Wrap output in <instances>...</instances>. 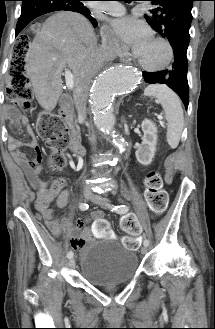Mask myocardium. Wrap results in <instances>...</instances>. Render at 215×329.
I'll list each match as a JSON object with an SVG mask.
<instances>
[{
  "instance_id": "1",
  "label": "myocardium",
  "mask_w": 215,
  "mask_h": 329,
  "mask_svg": "<svg viewBox=\"0 0 215 329\" xmlns=\"http://www.w3.org/2000/svg\"><path fill=\"white\" fill-rule=\"evenodd\" d=\"M153 40L160 43L165 48L167 54H166V59L164 60V62L158 66H149V65L142 63L139 60V58L137 57V54H134V60H135L136 64L144 71H147V72L164 71L171 65V63L174 60V49H173L171 43L167 39H165L161 36H156L153 38Z\"/></svg>"
}]
</instances>
